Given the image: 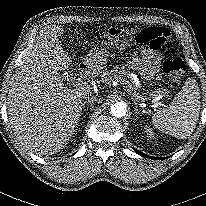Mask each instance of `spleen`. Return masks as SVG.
Here are the masks:
<instances>
[{
    "label": "spleen",
    "instance_id": "1",
    "mask_svg": "<svg viewBox=\"0 0 206 206\" xmlns=\"http://www.w3.org/2000/svg\"><path fill=\"white\" fill-rule=\"evenodd\" d=\"M200 112V88L194 78H188L167 108L152 116L153 126L162 133L186 139L194 129Z\"/></svg>",
    "mask_w": 206,
    "mask_h": 206
}]
</instances>
